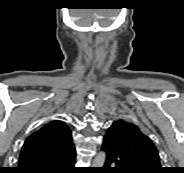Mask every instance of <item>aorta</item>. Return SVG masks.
<instances>
[{
  "mask_svg": "<svg viewBox=\"0 0 184 173\" xmlns=\"http://www.w3.org/2000/svg\"><path fill=\"white\" fill-rule=\"evenodd\" d=\"M105 160H106V153L100 152L93 161L94 167H103V165L105 164Z\"/></svg>",
  "mask_w": 184,
  "mask_h": 173,
  "instance_id": "1",
  "label": "aorta"
}]
</instances>
